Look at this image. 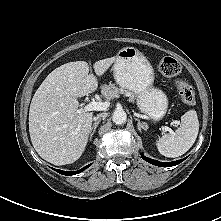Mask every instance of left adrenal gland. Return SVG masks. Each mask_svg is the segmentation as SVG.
<instances>
[{
	"instance_id": "obj_1",
	"label": "left adrenal gland",
	"mask_w": 221,
	"mask_h": 221,
	"mask_svg": "<svg viewBox=\"0 0 221 221\" xmlns=\"http://www.w3.org/2000/svg\"><path fill=\"white\" fill-rule=\"evenodd\" d=\"M135 120L138 122V130L141 131V129L143 130H147L148 126L146 123L141 122L139 119L135 118Z\"/></svg>"
}]
</instances>
